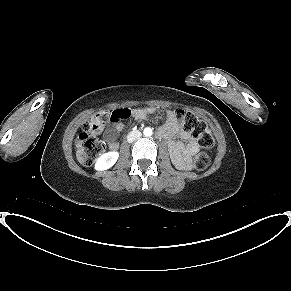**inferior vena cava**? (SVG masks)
<instances>
[{
	"mask_svg": "<svg viewBox=\"0 0 291 291\" xmlns=\"http://www.w3.org/2000/svg\"><path fill=\"white\" fill-rule=\"evenodd\" d=\"M141 136H142V134H141L140 131H138V130L131 131V132L127 135V141L131 143V142H133V141L139 139Z\"/></svg>",
	"mask_w": 291,
	"mask_h": 291,
	"instance_id": "602c4592",
	"label": "inferior vena cava"
}]
</instances>
